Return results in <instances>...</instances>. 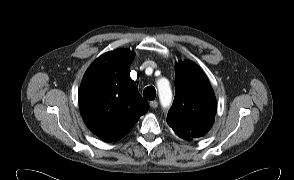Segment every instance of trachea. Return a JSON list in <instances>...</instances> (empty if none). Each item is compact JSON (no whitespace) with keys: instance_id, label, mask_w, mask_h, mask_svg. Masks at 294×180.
<instances>
[{"instance_id":"trachea-1","label":"trachea","mask_w":294,"mask_h":180,"mask_svg":"<svg viewBox=\"0 0 294 180\" xmlns=\"http://www.w3.org/2000/svg\"><path fill=\"white\" fill-rule=\"evenodd\" d=\"M143 97L148 100H154L156 97V90L153 86H148L143 91Z\"/></svg>"}]
</instances>
